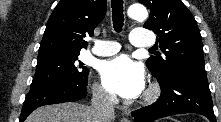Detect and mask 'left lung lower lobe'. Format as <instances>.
<instances>
[{
	"label": "left lung lower lobe",
	"mask_w": 221,
	"mask_h": 122,
	"mask_svg": "<svg viewBox=\"0 0 221 122\" xmlns=\"http://www.w3.org/2000/svg\"><path fill=\"white\" fill-rule=\"evenodd\" d=\"M161 97L154 104L133 111L136 122H152L162 117L198 113L216 122L205 73L180 72L166 82H159Z\"/></svg>",
	"instance_id": "0a47b994"
}]
</instances>
